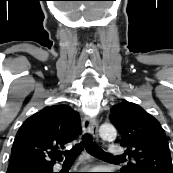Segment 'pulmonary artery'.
Segmentation results:
<instances>
[{
	"mask_svg": "<svg viewBox=\"0 0 173 173\" xmlns=\"http://www.w3.org/2000/svg\"><path fill=\"white\" fill-rule=\"evenodd\" d=\"M108 152L109 154L117 157V156H121L124 153V150L120 146L111 145L108 147Z\"/></svg>",
	"mask_w": 173,
	"mask_h": 173,
	"instance_id": "obj_1",
	"label": "pulmonary artery"
}]
</instances>
